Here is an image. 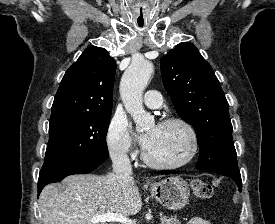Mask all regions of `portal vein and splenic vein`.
I'll use <instances>...</instances> for the list:
<instances>
[{
	"instance_id": "18ae733b",
	"label": "portal vein and splenic vein",
	"mask_w": 275,
	"mask_h": 224,
	"mask_svg": "<svg viewBox=\"0 0 275 224\" xmlns=\"http://www.w3.org/2000/svg\"><path fill=\"white\" fill-rule=\"evenodd\" d=\"M92 224H98V223H107V222H117L122 224H135L134 221L126 216L112 213V214H105L93 217L91 219Z\"/></svg>"
}]
</instances>
